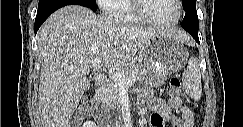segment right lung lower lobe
Instances as JSON below:
<instances>
[{
    "mask_svg": "<svg viewBox=\"0 0 243 127\" xmlns=\"http://www.w3.org/2000/svg\"><path fill=\"white\" fill-rule=\"evenodd\" d=\"M67 5H81L87 7L82 0H46L45 2L38 4L35 19V34L50 14Z\"/></svg>",
    "mask_w": 243,
    "mask_h": 127,
    "instance_id": "right-lung-lower-lobe-1",
    "label": "right lung lower lobe"
}]
</instances>
